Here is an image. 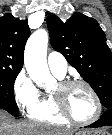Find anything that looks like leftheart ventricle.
I'll return each mask as SVG.
<instances>
[{"label": "left heart ventricle", "mask_w": 112, "mask_h": 135, "mask_svg": "<svg viewBox=\"0 0 112 135\" xmlns=\"http://www.w3.org/2000/svg\"><path fill=\"white\" fill-rule=\"evenodd\" d=\"M59 91L58 85L53 93ZM70 113L78 120H88L95 112V102L89 91L80 85L70 87L65 94Z\"/></svg>", "instance_id": "obj_1"}]
</instances>
